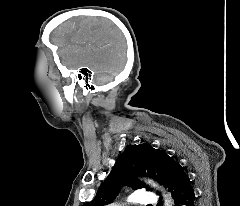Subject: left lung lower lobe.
I'll use <instances>...</instances> for the list:
<instances>
[{
	"mask_svg": "<svg viewBox=\"0 0 240 206\" xmlns=\"http://www.w3.org/2000/svg\"><path fill=\"white\" fill-rule=\"evenodd\" d=\"M166 187L173 196L175 206H195V193L191 181L178 162L172 166ZM157 206H162L161 202Z\"/></svg>",
	"mask_w": 240,
	"mask_h": 206,
	"instance_id": "0a47b994",
	"label": "left lung lower lobe"
}]
</instances>
